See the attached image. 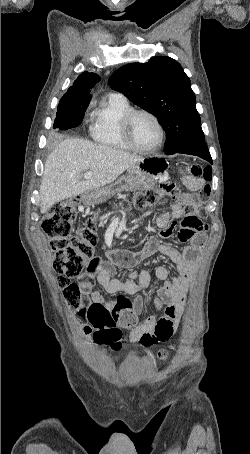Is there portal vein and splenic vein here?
Segmentation results:
<instances>
[{
    "instance_id": "obj_1",
    "label": "portal vein and splenic vein",
    "mask_w": 250,
    "mask_h": 454,
    "mask_svg": "<svg viewBox=\"0 0 250 454\" xmlns=\"http://www.w3.org/2000/svg\"><path fill=\"white\" fill-rule=\"evenodd\" d=\"M93 173L91 171H88L84 174L85 179H90L92 177Z\"/></svg>"
}]
</instances>
